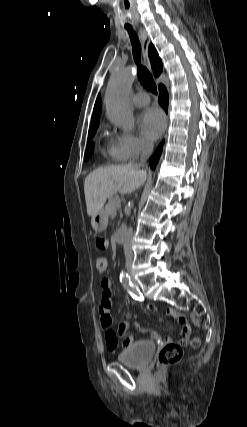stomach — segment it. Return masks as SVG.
Masks as SVG:
<instances>
[{"label":"stomach","instance_id":"stomach-1","mask_svg":"<svg viewBox=\"0 0 247 427\" xmlns=\"http://www.w3.org/2000/svg\"><path fill=\"white\" fill-rule=\"evenodd\" d=\"M91 224H92V228L96 232H102L106 229L108 224V217L103 209L92 218Z\"/></svg>","mask_w":247,"mask_h":427}]
</instances>
